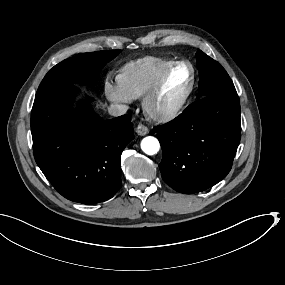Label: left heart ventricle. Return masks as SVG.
<instances>
[{
	"label": "left heart ventricle",
	"mask_w": 285,
	"mask_h": 285,
	"mask_svg": "<svg viewBox=\"0 0 285 285\" xmlns=\"http://www.w3.org/2000/svg\"><path fill=\"white\" fill-rule=\"evenodd\" d=\"M188 86V80L182 73H176L170 77L162 91L156 95L151 103L152 113H160L163 110L176 105Z\"/></svg>",
	"instance_id": "1"
}]
</instances>
